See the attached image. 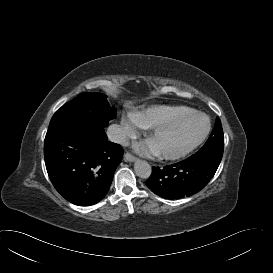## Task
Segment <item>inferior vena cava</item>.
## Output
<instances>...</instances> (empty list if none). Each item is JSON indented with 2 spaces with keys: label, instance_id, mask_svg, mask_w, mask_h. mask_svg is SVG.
<instances>
[{
  "label": "inferior vena cava",
  "instance_id": "1",
  "mask_svg": "<svg viewBox=\"0 0 273 273\" xmlns=\"http://www.w3.org/2000/svg\"><path fill=\"white\" fill-rule=\"evenodd\" d=\"M108 139L112 142L127 145L129 140L125 131L118 125L109 126L107 130Z\"/></svg>",
  "mask_w": 273,
  "mask_h": 273
}]
</instances>
